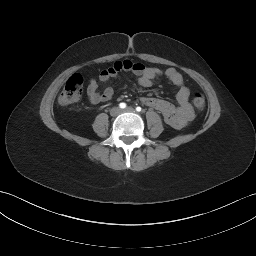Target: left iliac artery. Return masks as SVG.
<instances>
[{"mask_svg": "<svg viewBox=\"0 0 256 256\" xmlns=\"http://www.w3.org/2000/svg\"><path fill=\"white\" fill-rule=\"evenodd\" d=\"M136 111L137 112H141L142 111V108L140 106L136 107Z\"/></svg>", "mask_w": 256, "mask_h": 256, "instance_id": "1", "label": "left iliac artery"}]
</instances>
